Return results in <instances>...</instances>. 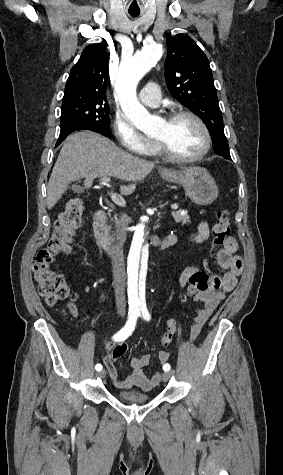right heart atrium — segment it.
<instances>
[{"label": "right heart atrium", "instance_id": "d8ad5b80", "mask_svg": "<svg viewBox=\"0 0 283 475\" xmlns=\"http://www.w3.org/2000/svg\"><path fill=\"white\" fill-rule=\"evenodd\" d=\"M111 129L118 140L117 150L124 155H144L145 158L151 153L153 141L138 132L126 115L117 112Z\"/></svg>", "mask_w": 283, "mask_h": 475}]
</instances>
